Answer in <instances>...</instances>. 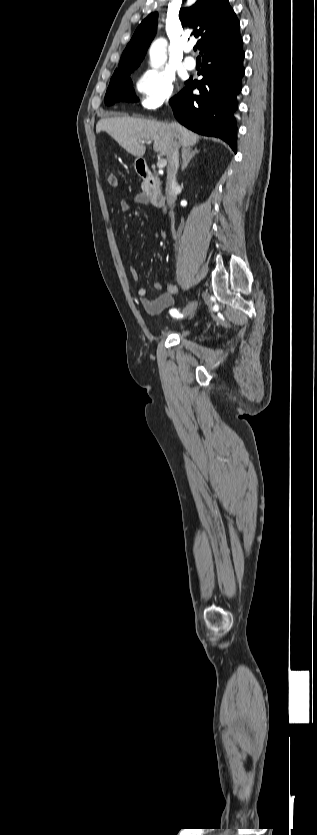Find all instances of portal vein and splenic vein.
<instances>
[{
	"instance_id": "1",
	"label": "portal vein and splenic vein",
	"mask_w": 317,
	"mask_h": 835,
	"mask_svg": "<svg viewBox=\"0 0 317 835\" xmlns=\"http://www.w3.org/2000/svg\"><path fill=\"white\" fill-rule=\"evenodd\" d=\"M140 142L141 143H146V141H143V140H141ZM166 164H167V161L165 159H162V160L158 161L157 166L159 168H164L166 166Z\"/></svg>"
}]
</instances>
